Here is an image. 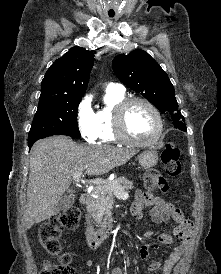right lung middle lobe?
<instances>
[{
  "label": "right lung middle lobe",
  "instance_id": "obj_1",
  "mask_svg": "<svg viewBox=\"0 0 221 274\" xmlns=\"http://www.w3.org/2000/svg\"><path fill=\"white\" fill-rule=\"evenodd\" d=\"M81 98L40 99L28 135V144L52 135L80 138L77 111Z\"/></svg>",
  "mask_w": 221,
  "mask_h": 274
}]
</instances>
